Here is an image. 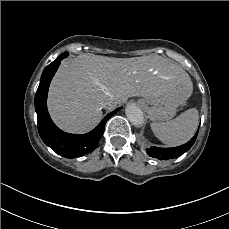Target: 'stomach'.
I'll use <instances>...</instances> for the list:
<instances>
[{
	"label": "stomach",
	"instance_id": "1",
	"mask_svg": "<svg viewBox=\"0 0 229 229\" xmlns=\"http://www.w3.org/2000/svg\"><path fill=\"white\" fill-rule=\"evenodd\" d=\"M192 90L187 93L164 94L158 97L140 99L139 107L153 121H168L176 115L177 107L184 105L191 96Z\"/></svg>",
	"mask_w": 229,
	"mask_h": 229
}]
</instances>
